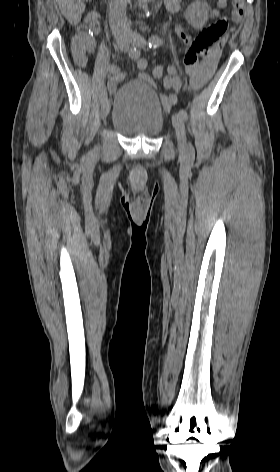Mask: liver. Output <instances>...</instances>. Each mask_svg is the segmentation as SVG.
Segmentation results:
<instances>
[{
    "label": "liver",
    "mask_w": 280,
    "mask_h": 472,
    "mask_svg": "<svg viewBox=\"0 0 280 472\" xmlns=\"http://www.w3.org/2000/svg\"><path fill=\"white\" fill-rule=\"evenodd\" d=\"M85 1L88 0H57V3L67 21L72 25H77L85 11Z\"/></svg>",
    "instance_id": "1"
}]
</instances>
